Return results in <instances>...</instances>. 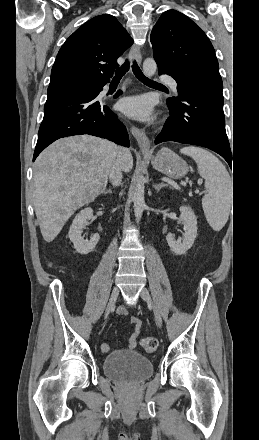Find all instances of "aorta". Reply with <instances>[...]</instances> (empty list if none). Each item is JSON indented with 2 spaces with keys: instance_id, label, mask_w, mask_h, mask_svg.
Instances as JSON below:
<instances>
[{
  "instance_id": "obj_1",
  "label": "aorta",
  "mask_w": 259,
  "mask_h": 440,
  "mask_svg": "<svg viewBox=\"0 0 259 440\" xmlns=\"http://www.w3.org/2000/svg\"><path fill=\"white\" fill-rule=\"evenodd\" d=\"M157 69V64L152 58L145 59L143 62V71L144 74L150 78L152 77ZM144 177L141 175L137 179L136 189L133 195V203H134V214L137 221H139L142 217L143 210L145 208L144 201Z\"/></svg>"
}]
</instances>
